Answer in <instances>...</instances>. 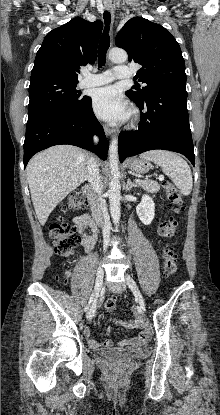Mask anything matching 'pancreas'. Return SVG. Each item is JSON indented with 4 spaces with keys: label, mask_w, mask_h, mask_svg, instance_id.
<instances>
[{
    "label": "pancreas",
    "mask_w": 220,
    "mask_h": 415,
    "mask_svg": "<svg viewBox=\"0 0 220 415\" xmlns=\"http://www.w3.org/2000/svg\"><path fill=\"white\" fill-rule=\"evenodd\" d=\"M138 186L142 187L149 193H157L160 190V185L156 181L144 180L138 182Z\"/></svg>",
    "instance_id": "obj_1"
}]
</instances>
